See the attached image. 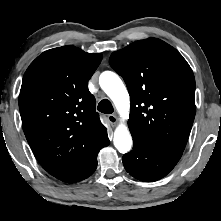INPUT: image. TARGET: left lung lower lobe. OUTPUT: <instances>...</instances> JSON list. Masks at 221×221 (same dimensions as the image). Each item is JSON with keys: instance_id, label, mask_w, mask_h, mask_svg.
<instances>
[{"instance_id": "1", "label": "left lung lower lobe", "mask_w": 221, "mask_h": 221, "mask_svg": "<svg viewBox=\"0 0 221 221\" xmlns=\"http://www.w3.org/2000/svg\"><path fill=\"white\" fill-rule=\"evenodd\" d=\"M133 137V150L123 156L126 171L138 180L152 182L166 176L177 164L182 153L153 147Z\"/></svg>"}]
</instances>
